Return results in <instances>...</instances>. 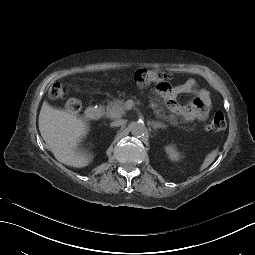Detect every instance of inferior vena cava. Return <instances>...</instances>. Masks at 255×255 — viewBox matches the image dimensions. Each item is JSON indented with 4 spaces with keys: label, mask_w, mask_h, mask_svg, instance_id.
I'll list each match as a JSON object with an SVG mask.
<instances>
[{
    "label": "inferior vena cava",
    "mask_w": 255,
    "mask_h": 255,
    "mask_svg": "<svg viewBox=\"0 0 255 255\" xmlns=\"http://www.w3.org/2000/svg\"><path fill=\"white\" fill-rule=\"evenodd\" d=\"M124 124V121L123 120H115V121H113L110 125L112 126V127H118V126H121V125H123Z\"/></svg>",
    "instance_id": "inferior-vena-cava-1"
}]
</instances>
